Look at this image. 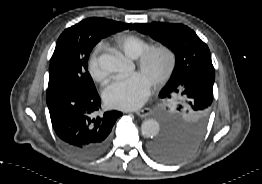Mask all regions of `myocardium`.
I'll use <instances>...</instances> for the list:
<instances>
[{
	"label": "myocardium",
	"instance_id": "myocardium-1",
	"mask_svg": "<svg viewBox=\"0 0 262 184\" xmlns=\"http://www.w3.org/2000/svg\"><path fill=\"white\" fill-rule=\"evenodd\" d=\"M159 54H163L167 57V66L161 73L156 75L151 81V83L155 87H159L165 84L167 81L170 80V78L175 73L178 65L177 51L173 47L167 44H159L156 46H152L149 49H147L145 52H143L137 61V67L139 71L142 72L149 67L154 57H156Z\"/></svg>",
	"mask_w": 262,
	"mask_h": 184
}]
</instances>
